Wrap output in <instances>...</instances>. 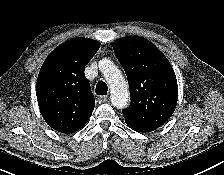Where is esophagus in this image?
Listing matches in <instances>:
<instances>
[{
    "instance_id": "34e87169",
    "label": "esophagus",
    "mask_w": 224,
    "mask_h": 175,
    "mask_svg": "<svg viewBox=\"0 0 224 175\" xmlns=\"http://www.w3.org/2000/svg\"><path fill=\"white\" fill-rule=\"evenodd\" d=\"M99 103H106L109 101V97L107 95H102L99 97Z\"/></svg>"
}]
</instances>
